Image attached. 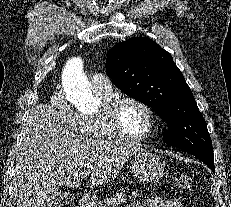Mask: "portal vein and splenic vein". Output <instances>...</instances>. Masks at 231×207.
Segmentation results:
<instances>
[{
	"label": "portal vein and splenic vein",
	"instance_id": "obj_1",
	"mask_svg": "<svg viewBox=\"0 0 231 207\" xmlns=\"http://www.w3.org/2000/svg\"><path fill=\"white\" fill-rule=\"evenodd\" d=\"M88 174L83 175V179H87Z\"/></svg>",
	"mask_w": 231,
	"mask_h": 207
}]
</instances>
